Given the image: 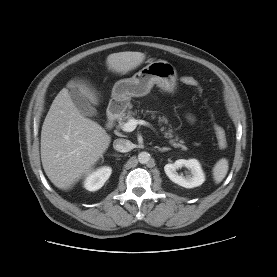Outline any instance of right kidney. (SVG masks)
I'll return each mask as SVG.
<instances>
[{
  "label": "right kidney",
  "instance_id": "ca27d5eb",
  "mask_svg": "<svg viewBox=\"0 0 277 277\" xmlns=\"http://www.w3.org/2000/svg\"><path fill=\"white\" fill-rule=\"evenodd\" d=\"M111 173H112V169L107 166L101 167L93 171L86 177L84 181L85 189H87L88 191L99 190L104 185V183L109 179Z\"/></svg>",
  "mask_w": 277,
  "mask_h": 277
}]
</instances>
